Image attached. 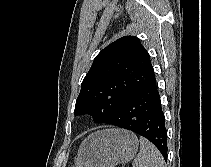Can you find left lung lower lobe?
<instances>
[{"mask_svg":"<svg viewBox=\"0 0 211 167\" xmlns=\"http://www.w3.org/2000/svg\"><path fill=\"white\" fill-rule=\"evenodd\" d=\"M131 130L151 141L167 158V130L155 75L140 90L132 94L107 122Z\"/></svg>","mask_w":211,"mask_h":167,"instance_id":"1","label":"left lung lower lobe"}]
</instances>
